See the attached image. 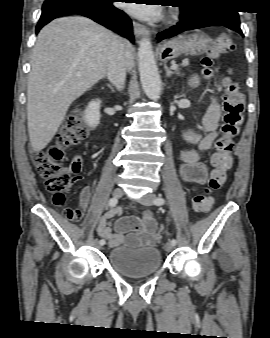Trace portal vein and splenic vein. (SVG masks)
Masks as SVG:
<instances>
[{"label": "portal vein and splenic vein", "instance_id": "1", "mask_svg": "<svg viewBox=\"0 0 270 338\" xmlns=\"http://www.w3.org/2000/svg\"><path fill=\"white\" fill-rule=\"evenodd\" d=\"M178 68V65L177 64H173L172 66H171V69H173V70H175V69H177Z\"/></svg>", "mask_w": 270, "mask_h": 338}]
</instances>
